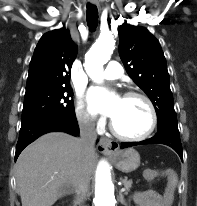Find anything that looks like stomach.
<instances>
[{
    "label": "stomach",
    "mask_w": 197,
    "mask_h": 206,
    "mask_svg": "<svg viewBox=\"0 0 197 206\" xmlns=\"http://www.w3.org/2000/svg\"><path fill=\"white\" fill-rule=\"evenodd\" d=\"M110 155L117 169L124 173L135 171L140 166V155L133 148L118 150Z\"/></svg>",
    "instance_id": "stomach-1"
}]
</instances>
